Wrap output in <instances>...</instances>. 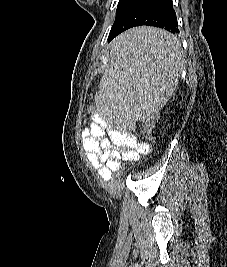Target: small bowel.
I'll return each instance as SVG.
<instances>
[{"instance_id": "c3829d8e", "label": "small bowel", "mask_w": 227, "mask_h": 267, "mask_svg": "<svg viewBox=\"0 0 227 267\" xmlns=\"http://www.w3.org/2000/svg\"><path fill=\"white\" fill-rule=\"evenodd\" d=\"M83 149L89 164L96 168L103 180H109L111 172L120 167L127 155H136L138 160L150 151L128 130L106 131L100 116H95L82 134Z\"/></svg>"}]
</instances>
